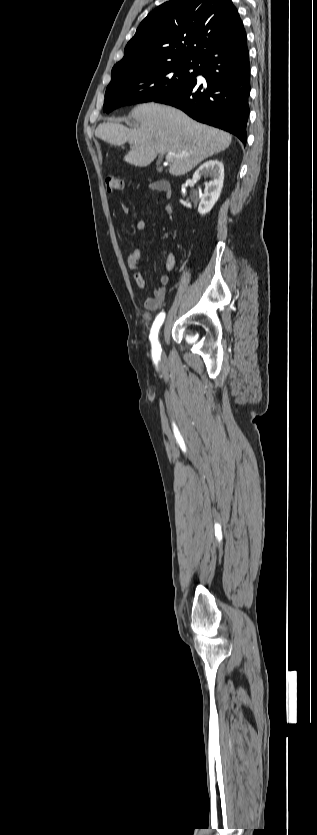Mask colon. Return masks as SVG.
<instances>
[{
	"mask_svg": "<svg viewBox=\"0 0 317 835\" xmlns=\"http://www.w3.org/2000/svg\"><path fill=\"white\" fill-rule=\"evenodd\" d=\"M124 186V183L120 177L117 175H109L106 178V187L109 192H114L117 190H121Z\"/></svg>",
	"mask_w": 317,
	"mask_h": 835,
	"instance_id": "colon-1",
	"label": "colon"
}]
</instances>
